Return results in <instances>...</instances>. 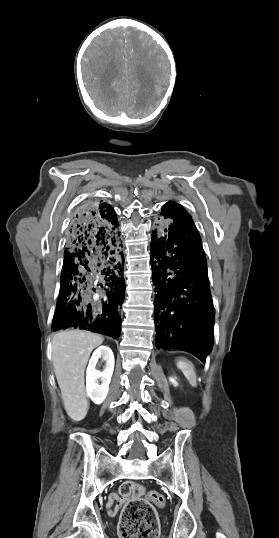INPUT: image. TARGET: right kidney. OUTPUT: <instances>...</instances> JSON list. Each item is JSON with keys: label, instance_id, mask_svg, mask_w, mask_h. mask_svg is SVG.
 <instances>
[{"label": "right kidney", "instance_id": "obj_1", "mask_svg": "<svg viewBox=\"0 0 279 538\" xmlns=\"http://www.w3.org/2000/svg\"><path fill=\"white\" fill-rule=\"evenodd\" d=\"M100 358L106 362L105 370H103V372L96 370L97 362ZM114 364L113 352L108 346H100V348H97V350L93 352V356L86 372V390L89 398H91L94 404H102V402H104L108 394ZM99 382H102V384H99Z\"/></svg>", "mask_w": 279, "mask_h": 538}]
</instances>
